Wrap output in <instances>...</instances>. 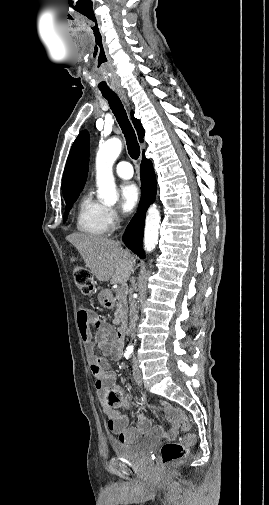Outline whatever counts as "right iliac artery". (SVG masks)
<instances>
[{"label": "right iliac artery", "instance_id": "right-iliac-artery-1", "mask_svg": "<svg viewBox=\"0 0 269 505\" xmlns=\"http://www.w3.org/2000/svg\"><path fill=\"white\" fill-rule=\"evenodd\" d=\"M130 356H131V352H130V351H126V352L124 353V357H125L126 359H129V358H130Z\"/></svg>", "mask_w": 269, "mask_h": 505}]
</instances>
